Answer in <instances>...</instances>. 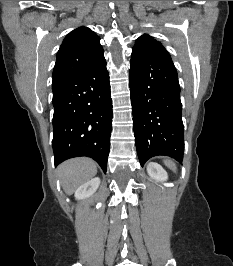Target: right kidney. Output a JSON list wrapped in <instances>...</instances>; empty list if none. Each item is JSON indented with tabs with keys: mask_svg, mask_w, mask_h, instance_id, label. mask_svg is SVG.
<instances>
[{
	"mask_svg": "<svg viewBox=\"0 0 233 266\" xmlns=\"http://www.w3.org/2000/svg\"><path fill=\"white\" fill-rule=\"evenodd\" d=\"M99 185L100 179L98 177L87 181L75 191V198L81 200L90 197L96 192Z\"/></svg>",
	"mask_w": 233,
	"mask_h": 266,
	"instance_id": "1",
	"label": "right kidney"
}]
</instances>
